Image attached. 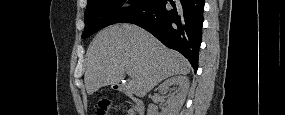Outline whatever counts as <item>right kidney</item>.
Returning a JSON list of instances; mask_svg holds the SVG:
<instances>
[{"label": "right kidney", "mask_w": 285, "mask_h": 115, "mask_svg": "<svg viewBox=\"0 0 285 115\" xmlns=\"http://www.w3.org/2000/svg\"><path fill=\"white\" fill-rule=\"evenodd\" d=\"M177 86L176 95H171L167 98V106L158 112L157 106L150 104L148 106V115H178L188 92L189 80L186 76H175L165 80L159 85V93L166 95L169 87Z\"/></svg>", "instance_id": "obj_1"}]
</instances>
